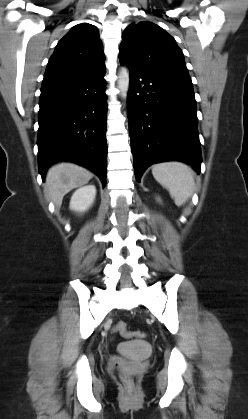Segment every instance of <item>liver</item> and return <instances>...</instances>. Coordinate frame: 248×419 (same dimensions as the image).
I'll return each instance as SVG.
<instances>
[{
  "label": "liver",
  "mask_w": 248,
  "mask_h": 419,
  "mask_svg": "<svg viewBox=\"0 0 248 419\" xmlns=\"http://www.w3.org/2000/svg\"><path fill=\"white\" fill-rule=\"evenodd\" d=\"M93 174L73 163L62 162L52 166L46 175L45 192L56 206L62 204L63 197L72 189L86 184Z\"/></svg>",
  "instance_id": "liver-1"
}]
</instances>
